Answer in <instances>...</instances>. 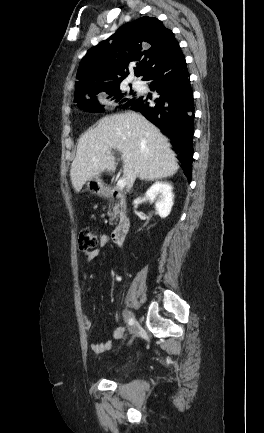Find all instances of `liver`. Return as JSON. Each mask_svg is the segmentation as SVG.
Wrapping results in <instances>:
<instances>
[{
  "label": "liver",
  "instance_id": "obj_1",
  "mask_svg": "<svg viewBox=\"0 0 264 433\" xmlns=\"http://www.w3.org/2000/svg\"><path fill=\"white\" fill-rule=\"evenodd\" d=\"M112 149L122 153L128 189L137 177L162 179L173 176L179 169L167 138L142 115L125 112L106 116L79 139L70 171L76 192H80L89 179L99 177L104 171H115Z\"/></svg>",
  "mask_w": 264,
  "mask_h": 433
}]
</instances>
